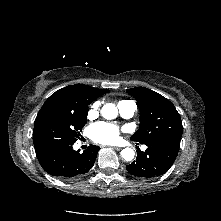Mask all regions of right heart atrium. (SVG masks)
I'll return each mask as SVG.
<instances>
[{"label": "right heart atrium", "instance_id": "d8ad5b80", "mask_svg": "<svg viewBox=\"0 0 221 221\" xmlns=\"http://www.w3.org/2000/svg\"><path fill=\"white\" fill-rule=\"evenodd\" d=\"M98 108H99V103L98 102L94 103L88 111V116L95 115L98 111Z\"/></svg>", "mask_w": 221, "mask_h": 221}]
</instances>
